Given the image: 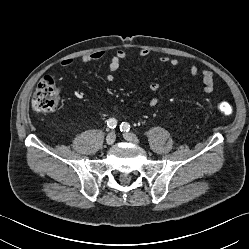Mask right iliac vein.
<instances>
[{
  "label": "right iliac vein",
  "mask_w": 249,
  "mask_h": 249,
  "mask_svg": "<svg viewBox=\"0 0 249 249\" xmlns=\"http://www.w3.org/2000/svg\"><path fill=\"white\" fill-rule=\"evenodd\" d=\"M116 139V134L115 132H110L107 136H106V143L107 145H112L115 142Z\"/></svg>",
  "instance_id": "63e3f726"
}]
</instances>
